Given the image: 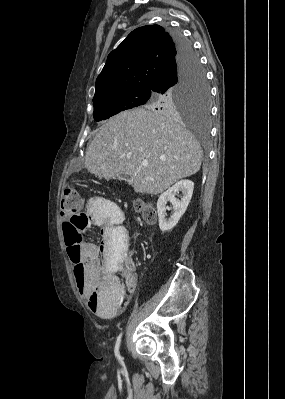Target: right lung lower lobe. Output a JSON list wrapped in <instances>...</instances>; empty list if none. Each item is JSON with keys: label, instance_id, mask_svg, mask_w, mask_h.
<instances>
[{"label": "right lung lower lobe", "instance_id": "right-lung-lower-lobe-1", "mask_svg": "<svg viewBox=\"0 0 285 399\" xmlns=\"http://www.w3.org/2000/svg\"><path fill=\"white\" fill-rule=\"evenodd\" d=\"M171 35L176 45L177 55L155 79L151 87V91L155 93H164L167 89L175 86L185 71L198 60L191 43L180 32L175 31Z\"/></svg>", "mask_w": 285, "mask_h": 399}]
</instances>
